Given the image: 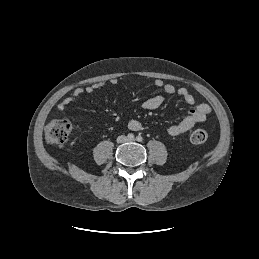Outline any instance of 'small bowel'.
Listing matches in <instances>:
<instances>
[{
	"instance_id": "c3829d8e",
	"label": "small bowel",
	"mask_w": 259,
	"mask_h": 259,
	"mask_svg": "<svg viewBox=\"0 0 259 259\" xmlns=\"http://www.w3.org/2000/svg\"><path fill=\"white\" fill-rule=\"evenodd\" d=\"M110 84L116 85L118 80L113 78ZM154 85L163 91V94L155 95L148 98L142 103V107L146 110H156L165 101L166 96H172L177 94L187 105L191 106L187 115L179 122L171 125L168 128V134L170 136H179L186 133L196 124L204 122L211 113V108L206 103L195 104L194 96L188 91V89L181 87L176 89L173 85L165 83L161 79H156ZM104 86L103 82H97L86 86L85 88H76L73 90L70 96L64 98L59 104L58 109L61 112H66L68 106L73 103L76 99L84 94H92L95 90ZM143 127L142 123L136 119H132L128 123V128L132 131H139Z\"/></svg>"
}]
</instances>
